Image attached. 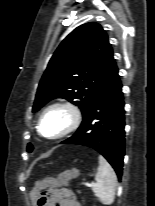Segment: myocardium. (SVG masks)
<instances>
[{
	"instance_id": "obj_1",
	"label": "myocardium",
	"mask_w": 155,
	"mask_h": 206,
	"mask_svg": "<svg viewBox=\"0 0 155 206\" xmlns=\"http://www.w3.org/2000/svg\"><path fill=\"white\" fill-rule=\"evenodd\" d=\"M53 111H62L67 115V123L66 126L56 135L46 136L42 131L43 120L49 113ZM82 122V112L79 106L70 100H61L50 104L48 107L44 109L41 113L38 124L37 131L40 136L49 140H59L62 139L69 134L73 133L78 129Z\"/></svg>"
}]
</instances>
